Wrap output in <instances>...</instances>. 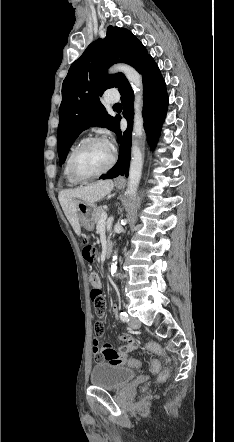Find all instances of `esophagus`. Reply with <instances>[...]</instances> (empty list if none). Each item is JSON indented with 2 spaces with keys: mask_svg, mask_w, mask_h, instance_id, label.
Masks as SVG:
<instances>
[{
  "mask_svg": "<svg viewBox=\"0 0 234 442\" xmlns=\"http://www.w3.org/2000/svg\"><path fill=\"white\" fill-rule=\"evenodd\" d=\"M124 179H123V177L122 176H118L117 178H116V181L117 182H122Z\"/></svg>",
  "mask_w": 234,
  "mask_h": 442,
  "instance_id": "obj_1",
  "label": "esophagus"
}]
</instances>
